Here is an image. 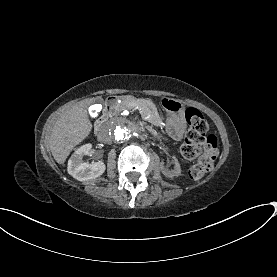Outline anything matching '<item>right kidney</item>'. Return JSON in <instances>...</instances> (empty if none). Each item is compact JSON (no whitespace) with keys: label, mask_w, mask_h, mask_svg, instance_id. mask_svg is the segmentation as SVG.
<instances>
[{"label":"right kidney","mask_w":277,"mask_h":277,"mask_svg":"<svg viewBox=\"0 0 277 277\" xmlns=\"http://www.w3.org/2000/svg\"><path fill=\"white\" fill-rule=\"evenodd\" d=\"M91 145L86 144L77 149L68 161V174L74 179L84 182L96 179L104 174L106 166L103 162H86L84 156H90Z\"/></svg>","instance_id":"1"}]
</instances>
